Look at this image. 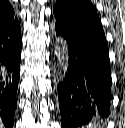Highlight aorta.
Listing matches in <instances>:
<instances>
[{
  "mask_svg": "<svg viewBox=\"0 0 125 128\" xmlns=\"http://www.w3.org/2000/svg\"><path fill=\"white\" fill-rule=\"evenodd\" d=\"M55 52L59 61V64L63 70L67 67L68 60V47L63 38H58L55 42Z\"/></svg>",
  "mask_w": 125,
  "mask_h": 128,
  "instance_id": "1",
  "label": "aorta"
}]
</instances>
